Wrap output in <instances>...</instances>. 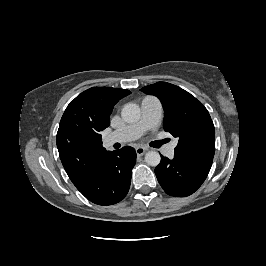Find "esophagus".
Here are the masks:
<instances>
[{
	"mask_svg": "<svg viewBox=\"0 0 266 266\" xmlns=\"http://www.w3.org/2000/svg\"><path fill=\"white\" fill-rule=\"evenodd\" d=\"M135 151L138 156H142L147 151V148L139 146L135 149Z\"/></svg>",
	"mask_w": 266,
	"mask_h": 266,
	"instance_id": "34e87169",
	"label": "esophagus"
}]
</instances>
